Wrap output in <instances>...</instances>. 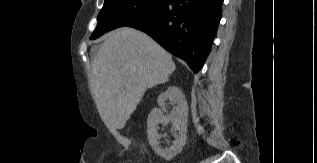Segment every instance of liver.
I'll return each instance as SVG.
<instances>
[{"label":"liver","instance_id":"obj_1","mask_svg":"<svg viewBox=\"0 0 317 163\" xmlns=\"http://www.w3.org/2000/svg\"><path fill=\"white\" fill-rule=\"evenodd\" d=\"M175 64L147 34L128 27L109 33L92 62L90 90L106 127L124 128L148 88L168 81Z\"/></svg>","mask_w":317,"mask_h":163}]
</instances>
